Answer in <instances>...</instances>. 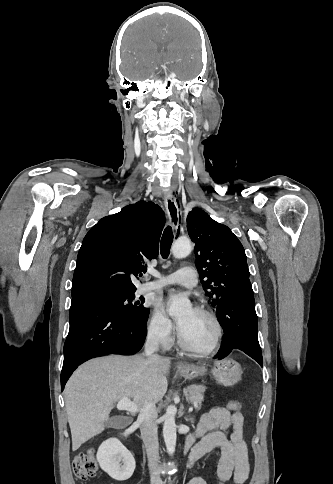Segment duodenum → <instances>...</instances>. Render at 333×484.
Here are the masks:
<instances>
[{"label": "duodenum", "mask_w": 333, "mask_h": 484, "mask_svg": "<svg viewBox=\"0 0 333 484\" xmlns=\"http://www.w3.org/2000/svg\"><path fill=\"white\" fill-rule=\"evenodd\" d=\"M128 436V433L127 432H124L121 434V438L124 439ZM190 445L189 444H186V451H189L190 450Z\"/></svg>", "instance_id": "obj_1"}]
</instances>
